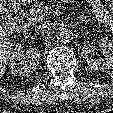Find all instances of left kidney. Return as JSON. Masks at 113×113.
Returning <instances> with one entry per match:
<instances>
[{
    "label": "left kidney",
    "instance_id": "5707ae66",
    "mask_svg": "<svg viewBox=\"0 0 113 113\" xmlns=\"http://www.w3.org/2000/svg\"><path fill=\"white\" fill-rule=\"evenodd\" d=\"M93 43L83 46L82 56L89 68L98 71L113 69V40L101 39L100 48L104 56L103 60L93 58Z\"/></svg>",
    "mask_w": 113,
    "mask_h": 113
}]
</instances>
